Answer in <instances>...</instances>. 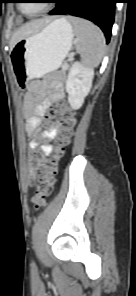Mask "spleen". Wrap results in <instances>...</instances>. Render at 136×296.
Returning a JSON list of instances; mask_svg holds the SVG:
<instances>
[{"label":"spleen","mask_w":136,"mask_h":296,"mask_svg":"<svg viewBox=\"0 0 136 296\" xmlns=\"http://www.w3.org/2000/svg\"><path fill=\"white\" fill-rule=\"evenodd\" d=\"M76 35V50L85 66H97L105 54V38L93 23L79 18H69Z\"/></svg>","instance_id":"3e777b00"}]
</instances>
